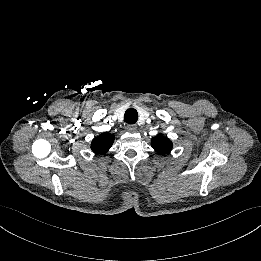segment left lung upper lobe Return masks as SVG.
<instances>
[{"mask_svg":"<svg viewBox=\"0 0 261 261\" xmlns=\"http://www.w3.org/2000/svg\"><path fill=\"white\" fill-rule=\"evenodd\" d=\"M152 148L159 154H167L172 150V142L162 135L152 138Z\"/></svg>","mask_w":261,"mask_h":261,"instance_id":"5c2ea615","label":"left lung upper lobe"}]
</instances>
